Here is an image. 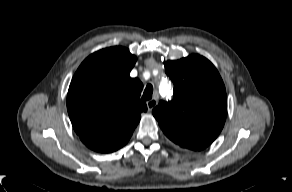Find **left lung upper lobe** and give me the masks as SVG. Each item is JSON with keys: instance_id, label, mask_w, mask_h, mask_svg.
Segmentation results:
<instances>
[{"instance_id": "5c2ea615", "label": "left lung upper lobe", "mask_w": 292, "mask_h": 192, "mask_svg": "<svg viewBox=\"0 0 292 192\" xmlns=\"http://www.w3.org/2000/svg\"><path fill=\"white\" fill-rule=\"evenodd\" d=\"M174 99L160 101L152 113L164 134L191 150L209 146L221 132L227 115V95L215 66L205 57L189 55L167 61Z\"/></svg>"}]
</instances>
